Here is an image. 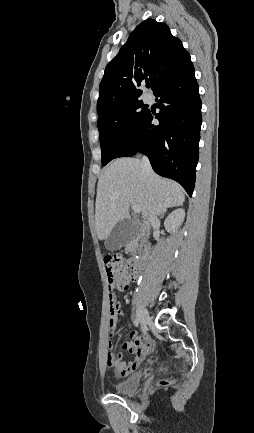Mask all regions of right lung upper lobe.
<instances>
[{
	"label": "right lung upper lobe",
	"instance_id": "obj_1",
	"mask_svg": "<svg viewBox=\"0 0 254 433\" xmlns=\"http://www.w3.org/2000/svg\"><path fill=\"white\" fill-rule=\"evenodd\" d=\"M188 58L182 42L165 23L143 21L106 66L97 111L138 100L142 94L138 87L144 83L152 85L154 94Z\"/></svg>",
	"mask_w": 254,
	"mask_h": 433
}]
</instances>
